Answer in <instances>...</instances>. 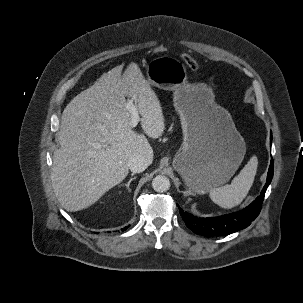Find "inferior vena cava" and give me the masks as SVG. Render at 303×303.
Segmentation results:
<instances>
[{
	"mask_svg": "<svg viewBox=\"0 0 303 303\" xmlns=\"http://www.w3.org/2000/svg\"><path fill=\"white\" fill-rule=\"evenodd\" d=\"M149 165V160L141 155L133 156L129 159L128 168L133 173L143 172Z\"/></svg>",
	"mask_w": 303,
	"mask_h": 303,
	"instance_id": "1",
	"label": "inferior vena cava"
}]
</instances>
